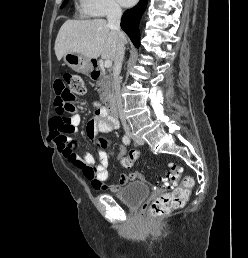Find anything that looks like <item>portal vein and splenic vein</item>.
Segmentation results:
<instances>
[{"mask_svg": "<svg viewBox=\"0 0 248 258\" xmlns=\"http://www.w3.org/2000/svg\"><path fill=\"white\" fill-rule=\"evenodd\" d=\"M111 66H112V61L109 60V59L105 60V62H104V67L110 68Z\"/></svg>", "mask_w": 248, "mask_h": 258, "instance_id": "portal-vein-and-splenic-vein-1", "label": "portal vein and splenic vein"}]
</instances>
